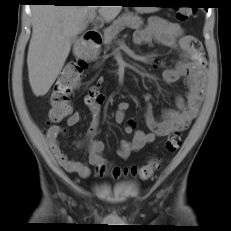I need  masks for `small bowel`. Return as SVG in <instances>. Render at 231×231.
<instances>
[{
  "mask_svg": "<svg viewBox=\"0 0 231 231\" xmlns=\"http://www.w3.org/2000/svg\"><path fill=\"white\" fill-rule=\"evenodd\" d=\"M133 41L137 45L160 43L178 50L181 54L180 61L172 69H167L163 73V79L166 83H174L178 80H184L187 93L185 98L178 96L176 98L177 109H166L160 119H156L148 106L145 121L149 129L148 132L135 130L132 122H129L124 132L133 135L130 141H122L117 155L122 159H127L132 152L141 150L147 144L152 143L157 137H164L172 132L186 129L196 118L206 86L205 58L200 42L190 35H185L183 28L173 22L163 18L155 17L149 20L148 25L138 30L133 35ZM102 78L97 80L96 85L89 87L84 102L91 113V121L87 131L86 138L80 144L86 146L88 150V161L80 162L71 160L61 148L58 137L62 128L53 125L48 129L46 141L57 159L59 164L70 173H77L81 177H88L90 166H101L107 164L103 157L104 143L95 139L99 126V114L104 96L99 90ZM146 98L151 99L150 95ZM129 108L126 101L117 104L114 113L115 122L122 124L125 120V113ZM81 120L78 111H72L67 118L68 126H75Z\"/></svg>",
  "mask_w": 231,
  "mask_h": 231,
  "instance_id": "small-bowel-1",
  "label": "small bowel"
}]
</instances>
